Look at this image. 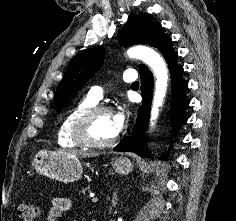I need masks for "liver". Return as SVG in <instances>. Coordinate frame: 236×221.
<instances>
[{"label": "liver", "mask_w": 236, "mask_h": 221, "mask_svg": "<svg viewBox=\"0 0 236 221\" xmlns=\"http://www.w3.org/2000/svg\"><path fill=\"white\" fill-rule=\"evenodd\" d=\"M62 153L73 154L79 157H96V153L84 152L80 150H69V151H62Z\"/></svg>", "instance_id": "liver-1"}]
</instances>
